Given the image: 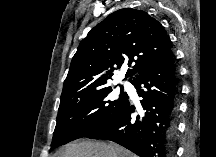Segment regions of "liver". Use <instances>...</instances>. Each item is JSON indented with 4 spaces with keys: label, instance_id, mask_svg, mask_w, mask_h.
Wrapping results in <instances>:
<instances>
[{
    "label": "liver",
    "instance_id": "obj_1",
    "mask_svg": "<svg viewBox=\"0 0 216 157\" xmlns=\"http://www.w3.org/2000/svg\"><path fill=\"white\" fill-rule=\"evenodd\" d=\"M55 157H135V155L116 143L83 141L66 145L55 154Z\"/></svg>",
    "mask_w": 216,
    "mask_h": 157
}]
</instances>
